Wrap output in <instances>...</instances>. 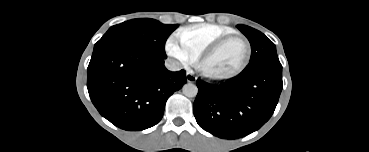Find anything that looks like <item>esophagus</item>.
<instances>
[{
    "mask_svg": "<svg viewBox=\"0 0 369 152\" xmlns=\"http://www.w3.org/2000/svg\"><path fill=\"white\" fill-rule=\"evenodd\" d=\"M186 79H187L188 82H192L193 83V82H195L197 80V77L194 74L188 72L186 74Z\"/></svg>",
    "mask_w": 369,
    "mask_h": 152,
    "instance_id": "obj_1",
    "label": "esophagus"
}]
</instances>
